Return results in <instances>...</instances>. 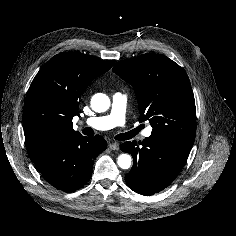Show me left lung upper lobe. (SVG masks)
<instances>
[{"label": "left lung upper lobe", "mask_w": 236, "mask_h": 236, "mask_svg": "<svg viewBox=\"0 0 236 236\" xmlns=\"http://www.w3.org/2000/svg\"><path fill=\"white\" fill-rule=\"evenodd\" d=\"M113 71L134 88L140 117L152 126V136L194 143L196 107L185 70L161 54L146 53L119 61Z\"/></svg>", "instance_id": "5c2ea615"}]
</instances>
